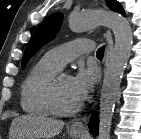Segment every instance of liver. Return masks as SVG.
I'll list each match as a JSON object with an SVG mask.
<instances>
[{
    "mask_svg": "<svg viewBox=\"0 0 141 139\" xmlns=\"http://www.w3.org/2000/svg\"><path fill=\"white\" fill-rule=\"evenodd\" d=\"M64 122L44 115H22L13 119L11 139H52L58 135Z\"/></svg>",
    "mask_w": 141,
    "mask_h": 139,
    "instance_id": "liver-1",
    "label": "liver"
}]
</instances>
